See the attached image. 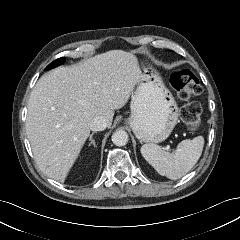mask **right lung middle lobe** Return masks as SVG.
<instances>
[{"mask_svg": "<svg viewBox=\"0 0 240 240\" xmlns=\"http://www.w3.org/2000/svg\"><path fill=\"white\" fill-rule=\"evenodd\" d=\"M64 61H65V57L55 60L46 67V70H50L54 67H57L58 65L62 64Z\"/></svg>", "mask_w": 240, "mask_h": 240, "instance_id": "right-lung-middle-lobe-1", "label": "right lung middle lobe"}]
</instances>
